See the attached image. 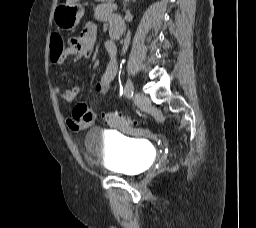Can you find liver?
I'll return each instance as SVG.
<instances>
[{
	"label": "liver",
	"instance_id": "6515ba94",
	"mask_svg": "<svg viewBox=\"0 0 256 228\" xmlns=\"http://www.w3.org/2000/svg\"><path fill=\"white\" fill-rule=\"evenodd\" d=\"M77 1H79V0H67L66 4H72V3H75Z\"/></svg>",
	"mask_w": 256,
	"mask_h": 228
}]
</instances>
